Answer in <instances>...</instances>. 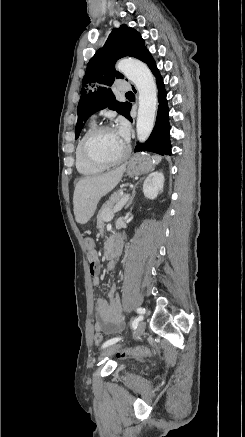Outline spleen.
Here are the masks:
<instances>
[{"label":"spleen","mask_w":245,"mask_h":437,"mask_svg":"<svg viewBox=\"0 0 245 437\" xmlns=\"http://www.w3.org/2000/svg\"><path fill=\"white\" fill-rule=\"evenodd\" d=\"M154 159H155L156 163H159L162 158L160 156H158V155H155Z\"/></svg>","instance_id":"1"}]
</instances>
